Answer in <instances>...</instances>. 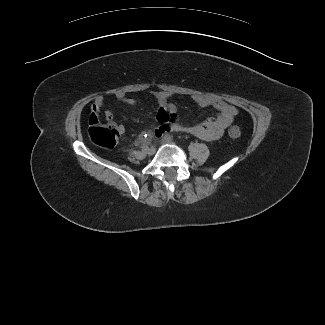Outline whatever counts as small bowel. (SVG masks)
Listing matches in <instances>:
<instances>
[{
    "mask_svg": "<svg viewBox=\"0 0 325 325\" xmlns=\"http://www.w3.org/2000/svg\"><path fill=\"white\" fill-rule=\"evenodd\" d=\"M154 96L159 104L157 118L161 122V126L156 130L159 134L171 130L174 132L189 133L206 141H213L223 135L226 128L230 126L237 114V109L233 105L221 99L208 95L193 94L190 97L194 102L200 107H211L215 109L217 111V116L215 118H209L200 124L186 125L177 120V107L175 104L169 102V99L173 96L172 92L157 91L154 93ZM114 97L118 101L130 106L137 104L136 99L127 96L124 92H116L114 93ZM104 104L105 97L102 95L98 96L92 105V112L98 114L104 108ZM104 115L106 119H111V110L105 109ZM118 131L124 134V126L120 125Z\"/></svg>",
    "mask_w": 325,
    "mask_h": 325,
    "instance_id": "c3829d8e",
    "label": "small bowel"
}]
</instances>
